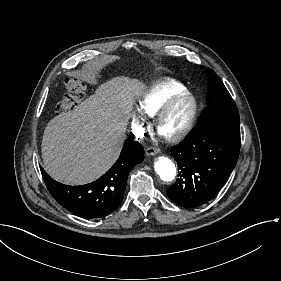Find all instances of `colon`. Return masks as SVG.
I'll return each instance as SVG.
<instances>
[{
  "label": "colon",
  "instance_id": "1",
  "mask_svg": "<svg viewBox=\"0 0 281 281\" xmlns=\"http://www.w3.org/2000/svg\"><path fill=\"white\" fill-rule=\"evenodd\" d=\"M64 85L66 93L57 105L60 114L73 111L84 100L85 96V89L81 80L67 76Z\"/></svg>",
  "mask_w": 281,
  "mask_h": 281
}]
</instances>
